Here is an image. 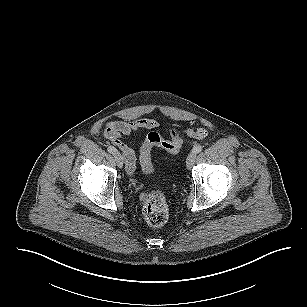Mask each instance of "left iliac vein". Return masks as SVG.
<instances>
[{
	"mask_svg": "<svg viewBox=\"0 0 307 307\" xmlns=\"http://www.w3.org/2000/svg\"><path fill=\"white\" fill-rule=\"evenodd\" d=\"M195 158H196V154L194 152H190L186 160L187 169L192 168L195 162Z\"/></svg>",
	"mask_w": 307,
	"mask_h": 307,
	"instance_id": "obj_1",
	"label": "left iliac vein"
}]
</instances>
